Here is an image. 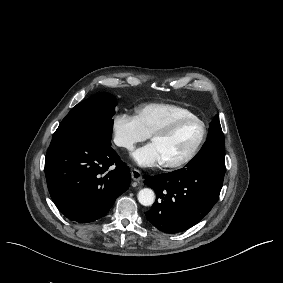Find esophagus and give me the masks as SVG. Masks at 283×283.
Instances as JSON below:
<instances>
[{
    "label": "esophagus",
    "mask_w": 283,
    "mask_h": 283,
    "mask_svg": "<svg viewBox=\"0 0 283 283\" xmlns=\"http://www.w3.org/2000/svg\"><path fill=\"white\" fill-rule=\"evenodd\" d=\"M131 177L134 181H141L142 180V174L139 170L137 169H132L131 170Z\"/></svg>",
    "instance_id": "obj_1"
}]
</instances>
